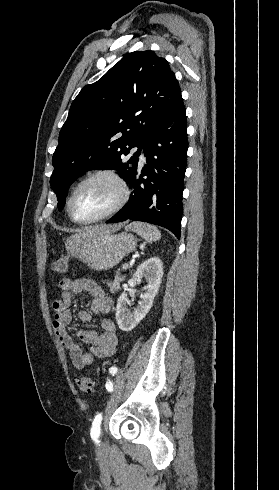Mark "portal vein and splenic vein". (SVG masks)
Segmentation results:
<instances>
[{
    "instance_id": "portal-vein-and-splenic-vein-1",
    "label": "portal vein and splenic vein",
    "mask_w": 279,
    "mask_h": 490,
    "mask_svg": "<svg viewBox=\"0 0 279 490\" xmlns=\"http://www.w3.org/2000/svg\"><path fill=\"white\" fill-rule=\"evenodd\" d=\"M128 264H123V270H127Z\"/></svg>"
}]
</instances>
